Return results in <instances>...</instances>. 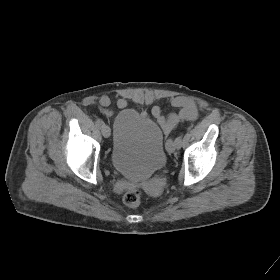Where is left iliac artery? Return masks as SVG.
<instances>
[{"mask_svg":"<svg viewBox=\"0 0 280 280\" xmlns=\"http://www.w3.org/2000/svg\"><path fill=\"white\" fill-rule=\"evenodd\" d=\"M175 142L177 143V146H180V145H181V142H182V136L179 135V136L175 139Z\"/></svg>","mask_w":280,"mask_h":280,"instance_id":"1","label":"left iliac artery"}]
</instances>
